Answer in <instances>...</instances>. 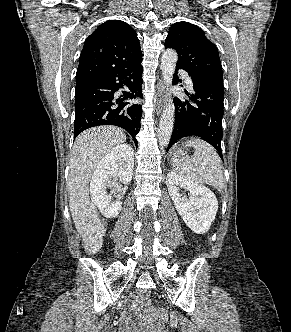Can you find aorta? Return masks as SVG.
Masks as SVG:
<instances>
[{"instance_id":"1","label":"aorta","mask_w":291,"mask_h":332,"mask_svg":"<svg viewBox=\"0 0 291 332\" xmlns=\"http://www.w3.org/2000/svg\"><path fill=\"white\" fill-rule=\"evenodd\" d=\"M178 55L175 50L167 49L161 59V70L164 83L167 86L172 85L173 75L175 72ZM174 125V105L172 99L169 97L166 100L164 106L158 130V139L161 146H167L169 144Z\"/></svg>"}]
</instances>
